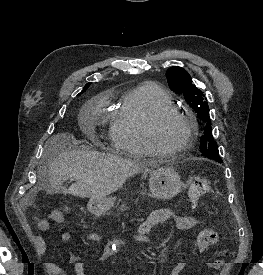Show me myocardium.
Listing matches in <instances>:
<instances>
[{
    "label": "myocardium",
    "instance_id": "1",
    "mask_svg": "<svg viewBox=\"0 0 263 275\" xmlns=\"http://www.w3.org/2000/svg\"><path fill=\"white\" fill-rule=\"evenodd\" d=\"M176 117L183 120L188 127V135L185 142L175 149H165L159 145L156 140V131L158 126L165 120ZM197 122L194 117L175 107H165L154 112L146 121L144 127L145 139L155 155L159 156H175L188 151L197 135Z\"/></svg>",
    "mask_w": 263,
    "mask_h": 275
}]
</instances>
